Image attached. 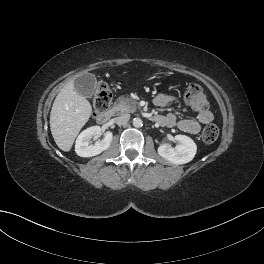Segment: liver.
<instances>
[{"label": "liver", "instance_id": "1", "mask_svg": "<svg viewBox=\"0 0 264 264\" xmlns=\"http://www.w3.org/2000/svg\"><path fill=\"white\" fill-rule=\"evenodd\" d=\"M92 114L89 101L79 94L70 80L58 93L50 113V129L57 146L68 152Z\"/></svg>", "mask_w": 264, "mask_h": 264}]
</instances>
